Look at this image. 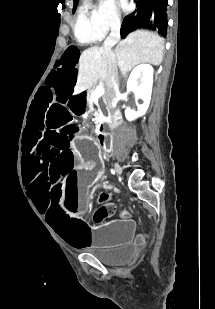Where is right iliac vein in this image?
<instances>
[{"instance_id":"right-iliac-vein-1","label":"right iliac vein","mask_w":215,"mask_h":309,"mask_svg":"<svg viewBox=\"0 0 215 309\" xmlns=\"http://www.w3.org/2000/svg\"><path fill=\"white\" fill-rule=\"evenodd\" d=\"M114 168H115V171H116L117 174H121V168H120L118 163L114 164Z\"/></svg>"}]
</instances>
